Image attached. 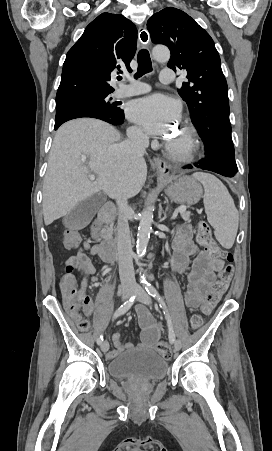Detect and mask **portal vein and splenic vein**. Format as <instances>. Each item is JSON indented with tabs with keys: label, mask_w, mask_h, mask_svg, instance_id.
I'll use <instances>...</instances> for the list:
<instances>
[{
	"label": "portal vein and splenic vein",
	"mask_w": 272,
	"mask_h": 451,
	"mask_svg": "<svg viewBox=\"0 0 272 451\" xmlns=\"http://www.w3.org/2000/svg\"><path fill=\"white\" fill-rule=\"evenodd\" d=\"M86 174H88L89 180H95L94 174H90V172H86ZM186 210V206H180V208H177L176 212H186Z\"/></svg>",
	"instance_id": "portal-vein-and-splenic-vein-1"
}]
</instances>
